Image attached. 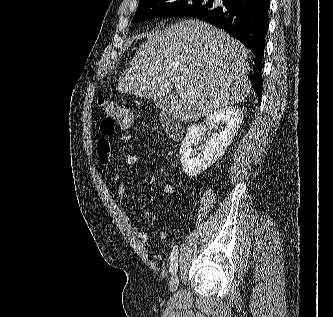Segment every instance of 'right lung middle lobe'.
Wrapping results in <instances>:
<instances>
[{"label":"right lung middle lobe","instance_id":"dd1d6c3e","mask_svg":"<svg viewBox=\"0 0 333 317\" xmlns=\"http://www.w3.org/2000/svg\"><path fill=\"white\" fill-rule=\"evenodd\" d=\"M214 0H140L133 22L158 16H191L216 7Z\"/></svg>","mask_w":333,"mask_h":317}]
</instances>
